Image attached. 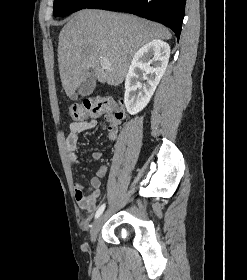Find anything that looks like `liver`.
<instances>
[{"mask_svg":"<svg viewBox=\"0 0 247 280\" xmlns=\"http://www.w3.org/2000/svg\"><path fill=\"white\" fill-rule=\"evenodd\" d=\"M171 37L162 25L133 15L93 9L75 13L60 31L58 42L59 73L66 95H75L90 70L100 83L118 86L140 47ZM102 58L109 65L101 66Z\"/></svg>","mask_w":247,"mask_h":280,"instance_id":"liver-1","label":"liver"}]
</instances>
